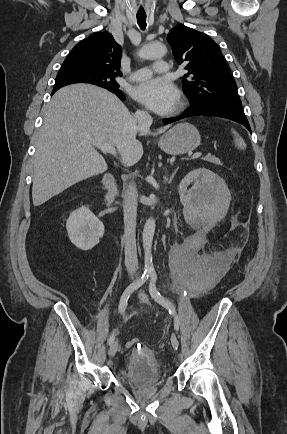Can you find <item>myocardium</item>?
Wrapping results in <instances>:
<instances>
[{
	"label": "myocardium",
	"mask_w": 287,
	"mask_h": 434,
	"mask_svg": "<svg viewBox=\"0 0 287 434\" xmlns=\"http://www.w3.org/2000/svg\"><path fill=\"white\" fill-rule=\"evenodd\" d=\"M183 101H179L178 109H180L183 106Z\"/></svg>",
	"instance_id": "1"
}]
</instances>
